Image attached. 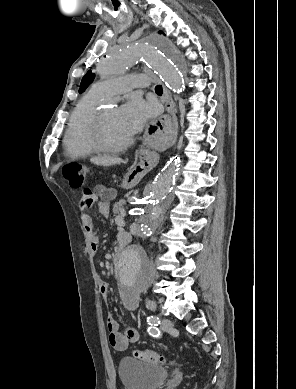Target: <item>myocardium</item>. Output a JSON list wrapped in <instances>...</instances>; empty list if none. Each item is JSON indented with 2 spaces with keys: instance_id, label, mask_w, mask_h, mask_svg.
Masks as SVG:
<instances>
[{
  "instance_id": "f54148a6",
  "label": "myocardium",
  "mask_w": 296,
  "mask_h": 389,
  "mask_svg": "<svg viewBox=\"0 0 296 389\" xmlns=\"http://www.w3.org/2000/svg\"><path fill=\"white\" fill-rule=\"evenodd\" d=\"M132 138H129L123 143L118 145H111L107 143L104 137V115L103 111L98 112L95 117L93 130H92V142L95 150L97 152L102 153H117L120 152L127 147H129L132 143Z\"/></svg>"
}]
</instances>
